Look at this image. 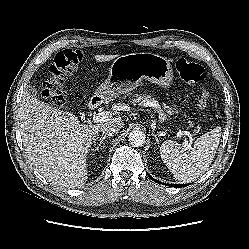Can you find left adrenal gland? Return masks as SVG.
Returning <instances> with one entry per match:
<instances>
[{"instance_id": "a2214340", "label": "left adrenal gland", "mask_w": 249, "mask_h": 249, "mask_svg": "<svg viewBox=\"0 0 249 249\" xmlns=\"http://www.w3.org/2000/svg\"><path fill=\"white\" fill-rule=\"evenodd\" d=\"M154 137H155L156 142H157V143H159V140H158V138H157V135H156V134H154Z\"/></svg>"}]
</instances>
